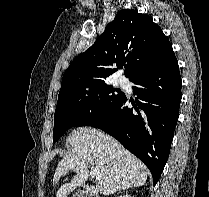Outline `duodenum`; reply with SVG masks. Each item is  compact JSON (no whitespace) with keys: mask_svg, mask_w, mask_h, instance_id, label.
Masks as SVG:
<instances>
[{"mask_svg":"<svg viewBox=\"0 0 209 197\" xmlns=\"http://www.w3.org/2000/svg\"><path fill=\"white\" fill-rule=\"evenodd\" d=\"M82 192L84 195L88 197H100L98 193L96 192V190L91 186H84L82 188Z\"/></svg>","mask_w":209,"mask_h":197,"instance_id":"410a0bca","label":"duodenum"}]
</instances>
